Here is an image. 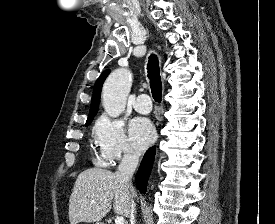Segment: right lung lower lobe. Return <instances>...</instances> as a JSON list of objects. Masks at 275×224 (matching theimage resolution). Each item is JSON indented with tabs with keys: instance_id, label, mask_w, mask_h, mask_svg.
<instances>
[{
	"instance_id": "98d812e1",
	"label": "right lung lower lobe",
	"mask_w": 275,
	"mask_h": 224,
	"mask_svg": "<svg viewBox=\"0 0 275 224\" xmlns=\"http://www.w3.org/2000/svg\"><path fill=\"white\" fill-rule=\"evenodd\" d=\"M155 149V146L149 148V150L144 155L139 170L136 174V186L142 193H146L147 181L149 179L155 157Z\"/></svg>"
}]
</instances>
